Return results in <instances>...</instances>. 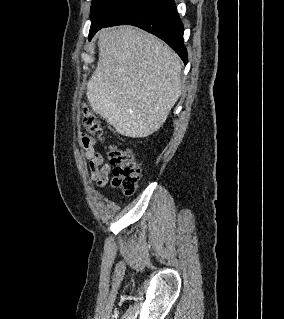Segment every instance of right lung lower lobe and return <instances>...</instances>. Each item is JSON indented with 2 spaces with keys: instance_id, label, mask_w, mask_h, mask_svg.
Masks as SVG:
<instances>
[{
  "instance_id": "98d812e1",
  "label": "right lung lower lobe",
  "mask_w": 284,
  "mask_h": 319,
  "mask_svg": "<svg viewBox=\"0 0 284 319\" xmlns=\"http://www.w3.org/2000/svg\"><path fill=\"white\" fill-rule=\"evenodd\" d=\"M125 24L137 26L161 38L187 64L188 55L183 42L184 27L174 0H135L103 27Z\"/></svg>"
}]
</instances>
